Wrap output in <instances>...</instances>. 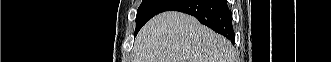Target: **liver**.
Instances as JSON below:
<instances>
[{
  "mask_svg": "<svg viewBox=\"0 0 331 62\" xmlns=\"http://www.w3.org/2000/svg\"><path fill=\"white\" fill-rule=\"evenodd\" d=\"M135 62H233L229 40L201 25L193 16L164 12L137 35Z\"/></svg>",
  "mask_w": 331,
  "mask_h": 62,
  "instance_id": "obj_1",
  "label": "liver"
}]
</instances>
